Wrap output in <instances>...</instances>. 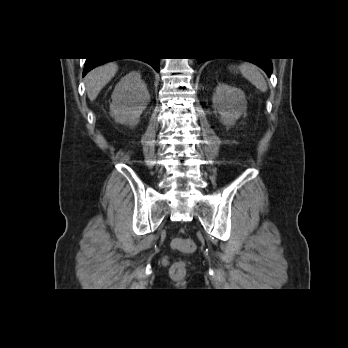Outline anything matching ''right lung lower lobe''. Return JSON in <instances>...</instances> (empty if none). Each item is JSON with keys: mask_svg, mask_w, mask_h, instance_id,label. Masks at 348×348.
<instances>
[{"mask_svg": "<svg viewBox=\"0 0 348 348\" xmlns=\"http://www.w3.org/2000/svg\"><path fill=\"white\" fill-rule=\"evenodd\" d=\"M109 61H112V60H108L104 58H87L84 71H83V76H85L91 69ZM143 61L150 64L157 72H159V58H149Z\"/></svg>", "mask_w": 348, "mask_h": 348, "instance_id": "right-lung-lower-lobe-1", "label": "right lung lower lobe"}]
</instances>
